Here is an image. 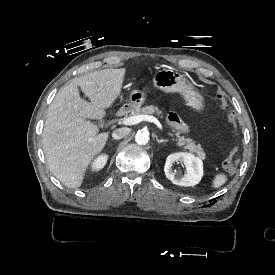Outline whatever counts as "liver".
<instances>
[{
  "label": "liver",
  "instance_id": "1",
  "mask_svg": "<svg viewBox=\"0 0 275 275\" xmlns=\"http://www.w3.org/2000/svg\"><path fill=\"white\" fill-rule=\"evenodd\" d=\"M126 69H104L75 78L49 106L43 150L53 175L69 188L82 186L92 162L104 150L109 133H98L89 119L106 117L120 97ZM79 86L91 103L80 96Z\"/></svg>",
  "mask_w": 275,
  "mask_h": 275
}]
</instances>
